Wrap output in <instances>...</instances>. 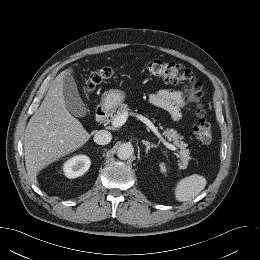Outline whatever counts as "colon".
Listing matches in <instances>:
<instances>
[{"label":"colon","mask_w":260,"mask_h":260,"mask_svg":"<svg viewBox=\"0 0 260 260\" xmlns=\"http://www.w3.org/2000/svg\"><path fill=\"white\" fill-rule=\"evenodd\" d=\"M146 72L163 82L183 84L186 88L187 101L192 105V114L196 120L193 131L198 141L208 144L212 140L211 125L206 118L202 104V86L194 77L191 70L184 65L161 60H152L145 65ZM114 70L109 67L91 72L85 83V90L91 92L101 82L110 79Z\"/></svg>","instance_id":"1"}]
</instances>
